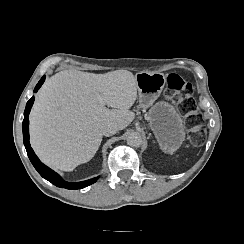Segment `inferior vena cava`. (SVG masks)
Segmentation results:
<instances>
[{
  "mask_svg": "<svg viewBox=\"0 0 244 244\" xmlns=\"http://www.w3.org/2000/svg\"><path fill=\"white\" fill-rule=\"evenodd\" d=\"M118 131V126L116 123H108L102 126V134L104 136H111Z\"/></svg>",
  "mask_w": 244,
  "mask_h": 244,
  "instance_id": "obj_1",
  "label": "inferior vena cava"
}]
</instances>
